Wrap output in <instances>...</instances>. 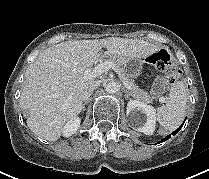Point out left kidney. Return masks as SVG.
<instances>
[{
  "instance_id": "obj_1",
  "label": "left kidney",
  "mask_w": 209,
  "mask_h": 179,
  "mask_svg": "<svg viewBox=\"0 0 209 179\" xmlns=\"http://www.w3.org/2000/svg\"><path fill=\"white\" fill-rule=\"evenodd\" d=\"M127 115L130 118V123L137 131L146 135H151L156 126L155 109L146 103L130 100L127 104ZM137 112H142L146 116L145 122L141 121Z\"/></svg>"
}]
</instances>
